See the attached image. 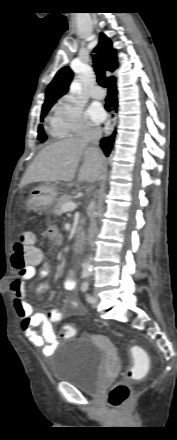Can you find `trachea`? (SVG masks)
<instances>
[{
  "label": "trachea",
  "instance_id": "trachea-1",
  "mask_svg": "<svg viewBox=\"0 0 177 440\" xmlns=\"http://www.w3.org/2000/svg\"><path fill=\"white\" fill-rule=\"evenodd\" d=\"M93 66L97 75V82L102 87H107L106 77H105V68L103 61L99 55H94Z\"/></svg>",
  "mask_w": 177,
  "mask_h": 440
}]
</instances>
